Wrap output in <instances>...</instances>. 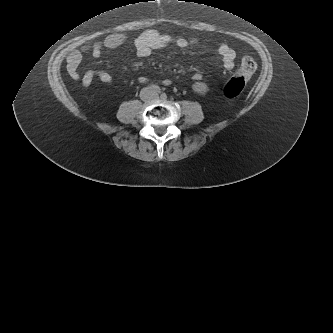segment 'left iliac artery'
Here are the masks:
<instances>
[{
	"instance_id": "left-iliac-artery-1",
	"label": "left iliac artery",
	"mask_w": 333,
	"mask_h": 333,
	"mask_svg": "<svg viewBox=\"0 0 333 333\" xmlns=\"http://www.w3.org/2000/svg\"><path fill=\"white\" fill-rule=\"evenodd\" d=\"M161 97H162V98H166V94H165V93H162V94H161Z\"/></svg>"
}]
</instances>
